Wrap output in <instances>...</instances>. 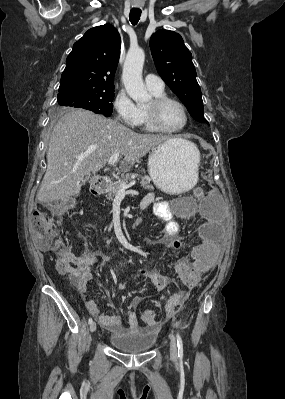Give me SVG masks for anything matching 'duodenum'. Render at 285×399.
I'll use <instances>...</instances> for the list:
<instances>
[{"label":"duodenum","instance_id":"1","mask_svg":"<svg viewBox=\"0 0 285 399\" xmlns=\"http://www.w3.org/2000/svg\"><path fill=\"white\" fill-rule=\"evenodd\" d=\"M107 183L101 182L99 184H94L91 186V193L95 196L103 195L107 190Z\"/></svg>","mask_w":285,"mask_h":399}]
</instances>
